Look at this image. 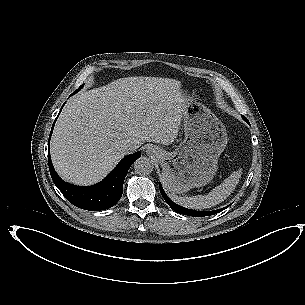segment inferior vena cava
I'll list each match as a JSON object with an SVG mask.
<instances>
[{
	"label": "inferior vena cava",
	"instance_id": "602c4592",
	"mask_svg": "<svg viewBox=\"0 0 305 305\" xmlns=\"http://www.w3.org/2000/svg\"><path fill=\"white\" fill-rule=\"evenodd\" d=\"M140 144L138 142L134 141H127L124 144V149L129 153V152H134L139 148Z\"/></svg>",
	"mask_w": 305,
	"mask_h": 305
}]
</instances>
